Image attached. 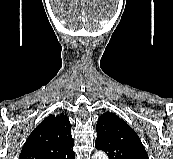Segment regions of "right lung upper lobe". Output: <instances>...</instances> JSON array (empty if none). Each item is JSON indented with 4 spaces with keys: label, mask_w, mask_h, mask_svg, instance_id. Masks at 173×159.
I'll return each mask as SVG.
<instances>
[{
    "label": "right lung upper lobe",
    "mask_w": 173,
    "mask_h": 159,
    "mask_svg": "<svg viewBox=\"0 0 173 159\" xmlns=\"http://www.w3.org/2000/svg\"><path fill=\"white\" fill-rule=\"evenodd\" d=\"M73 145L68 117L49 115L29 135L19 159H73Z\"/></svg>",
    "instance_id": "obj_1"
}]
</instances>
